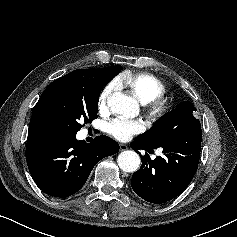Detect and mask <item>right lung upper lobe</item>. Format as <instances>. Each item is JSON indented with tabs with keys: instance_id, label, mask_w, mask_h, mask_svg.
Returning <instances> with one entry per match:
<instances>
[{
	"instance_id": "obj_1",
	"label": "right lung upper lobe",
	"mask_w": 237,
	"mask_h": 237,
	"mask_svg": "<svg viewBox=\"0 0 237 237\" xmlns=\"http://www.w3.org/2000/svg\"><path fill=\"white\" fill-rule=\"evenodd\" d=\"M60 81L69 83L73 86L82 89L90 88L93 85L91 69H77L53 81L44 90L40 99L38 100L37 104L34 107V111L32 113V117L29 124L28 135L41 131H50L44 109L47 102L50 87L55 82Z\"/></svg>"
}]
</instances>
